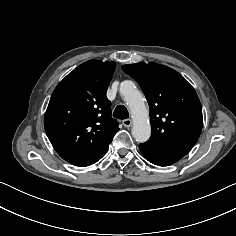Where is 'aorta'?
Segmentation results:
<instances>
[{
    "label": "aorta",
    "mask_w": 236,
    "mask_h": 236,
    "mask_svg": "<svg viewBox=\"0 0 236 236\" xmlns=\"http://www.w3.org/2000/svg\"><path fill=\"white\" fill-rule=\"evenodd\" d=\"M120 93L126 101L133 119L132 136L137 142H146L151 135L148 110L142 94L132 81H124L120 85Z\"/></svg>",
    "instance_id": "1"
}]
</instances>
